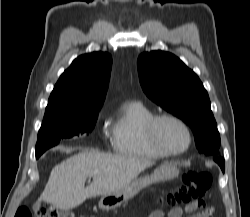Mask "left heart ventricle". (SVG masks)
<instances>
[{
    "mask_svg": "<svg viewBox=\"0 0 250 217\" xmlns=\"http://www.w3.org/2000/svg\"><path fill=\"white\" fill-rule=\"evenodd\" d=\"M159 136L163 144L172 150L183 149L187 144L184 130L173 122H162L159 126Z\"/></svg>",
    "mask_w": 250,
    "mask_h": 217,
    "instance_id": "obj_1",
    "label": "left heart ventricle"
}]
</instances>
